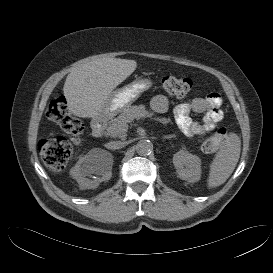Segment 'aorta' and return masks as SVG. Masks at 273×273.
I'll list each match as a JSON object with an SVG mask.
<instances>
[{"label": "aorta", "mask_w": 273, "mask_h": 273, "mask_svg": "<svg viewBox=\"0 0 273 273\" xmlns=\"http://www.w3.org/2000/svg\"><path fill=\"white\" fill-rule=\"evenodd\" d=\"M153 151V144L150 140L143 139L136 144V152L141 156L151 154Z\"/></svg>", "instance_id": "762f6f07"}]
</instances>
